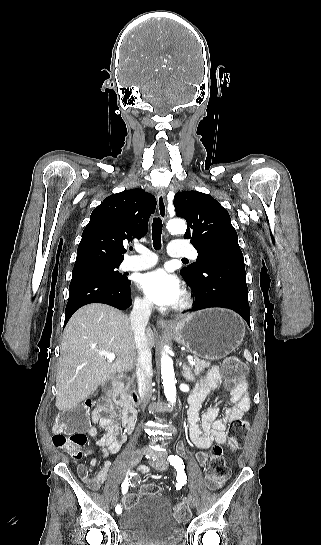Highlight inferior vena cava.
<instances>
[{
  "label": "inferior vena cava",
  "instance_id": "inferior-vena-cava-1",
  "mask_svg": "<svg viewBox=\"0 0 321 545\" xmlns=\"http://www.w3.org/2000/svg\"><path fill=\"white\" fill-rule=\"evenodd\" d=\"M153 303L135 299L130 313V325L133 331L138 359L136 375L138 377V391L141 399V409H145L152 397V355L147 345L145 329L150 319Z\"/></svg>",
  "mask_w": 321,
  "mask_h": 545
}]
</instances>
